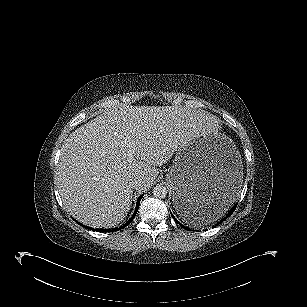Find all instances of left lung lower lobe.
I'll list each match as a JSON object with an SVG mask.
<instances>
[{
    "instance_id": "obj_1",
    "label": "left lung lower lobe",
    "mask_w": 307,
    "mask_h": 307,
    "mask_svg": "<svg viewBox=\"0 0 307 307\" xmlns=\"http://www.w3.org/2000/svg\"><path fill=\"white\" fill-rule=\"evenodd\" d=\"M236 206L234 207V209L222 220L224 221L225 219H227L235 210ZM172 217L174 218V220L180 225L183 226L179 221H177V219L173 216V214L171 213ZM222 221H220L219 223H217V225H219L220 223H222ZM184 227V226H183ZM185 229H187L186 227H184ZM189 230V229H187Z\"/></svg>"
}]
</instances>
